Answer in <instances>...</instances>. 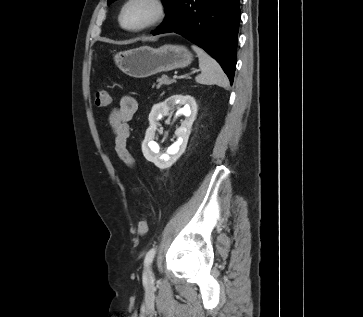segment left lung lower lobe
Wrapping results in <instances>:
<instances>
[{"label":"left lung lower lobe","instance_id":"obj_1","mask_svg":"<svg viewBox=\"0 0 363 317\" xmlns=\"http://www.w3.org/2000/svg\"><path fill=\"white\" fill-rule=\"evenodd\" d=\"M153 35L175 32L205 49L233 83L236 68L239 0H172Z\"/></svg>","mask_w":363,"mask_h":317}]
</instances>
